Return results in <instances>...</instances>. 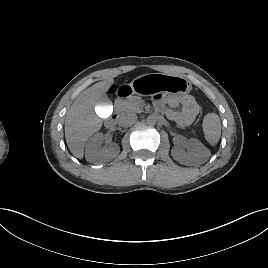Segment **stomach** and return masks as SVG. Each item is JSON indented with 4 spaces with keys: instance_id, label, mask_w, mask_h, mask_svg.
<instances>
[{
    "instance_id": "1",
    "label": "stomach",
    "mask_w": 268,
    "mask_h": 268,
    "mask_svg": "<svg viewBox=\"0 0 268 268\" xmlns=\"http://www.w3.org/2000/svg\"><path fill=\"white\" fill-rule=\"evenodd\" d=\"M134 94L154 95L160 92L187 94L192 90L191 83L183 76L165 73H147L136 77L130 83Z\"/></svg>"
}]
</instances>
